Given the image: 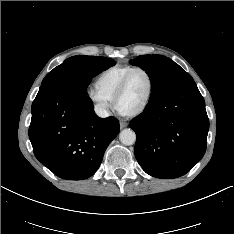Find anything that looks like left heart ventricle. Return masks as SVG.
I'll return each mask as SVG.
<instances>
[{
    "instance_id": "left-heart-ventricle-1",
    "label": "left heart ventricle",
    "mask_w": 234,
    "mask_h": 234,
    "mask_svg": "<svg viewBox=\"0 0 234 234\" xmlns=\"http://www.w3.org/2000/svg\"><path fill=\"white\" fill-rule=\"evenodd\" d=\"M149 89V79L142 71L135 72L129 81L126 91L118 100V109L130 112L137 109L145 100Z\"/></svg>"
}]
</instances>
